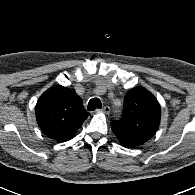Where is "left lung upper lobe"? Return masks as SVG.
I'll list each match as a JSON object with an SVG mask.
<instances>
[{"label": "left lung upper lobe", "mask_w": 195, "mask_h": 195, "mask_svg": "<svg viewBox=\"0 0 195 195\" xmlns=\"http://www.w3.org/2000/svg\"><path fill=\"white\" fill-rule=\"evenodd\" d=\"M160 105L156 98L143 87L128 91L124 98V111L111 127L120 143L135 147L151 139L159 128Z\"/></svg>", "instance_id": "5c2ea615"}]
</instances>
